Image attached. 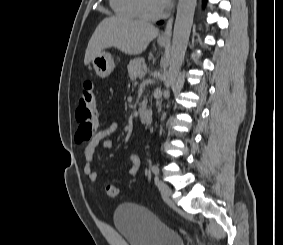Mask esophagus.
Returning <instances> with one entry per match:
<instances>
[{
  "instance_id": "obj_1",
  "label": "esophagus",
  "mask_w": 283,
  "mask_h": 245,
  "mask_svg": "<svg viewBox=\"0 0 283 245\" xmlns=\"http://www.w3.org/2000/svg\"><path fill=\"white\" fill-rule=\"evenodd\" d=\"M174 17L173 15L167 20L165 29L162 31V33L159 36V39L161 41H170L171 34H172V25H173Z\"/></svg>"
}]
</instances>
